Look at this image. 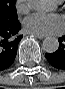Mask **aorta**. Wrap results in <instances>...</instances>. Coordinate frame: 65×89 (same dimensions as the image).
<instances>
[{
    "label": "aorta",
    "instance_id": "1",
    "mask_svg": "<svg viewBox=\"0 0 65 89\" xmlns=\"http://www.w3.org/2000/svg\"><path fill=\"white\" fill-rule=\"evenodd\" d=\"M31 7L38 12H48L52 8V2L49 0H32ZM42 48L47 53H54L59 48V42L55 37H46L43 40Z\"/></svg>",
    "mask_w": 65,
    "mask_h": 89
}]
</instances>
